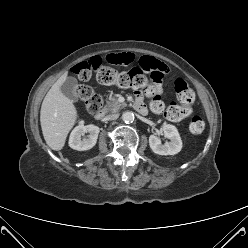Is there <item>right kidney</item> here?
Returning <instances> with one entry per match:
<instances>
[{
  "mask_svg": "<svg viewBox=\"0 0 248 248\" xmlns=\"http://www.w3.org/2000/svg\"><path fill=\"white\" fill-rule=\"evenodd\" d=\"M99 127L93 124L84 125L82 122L74 128L69 138V146L78 151L89 150L95 146L99 134ZM88 132V138L81 139V136Z\"/></svg>",
  "mask_w": 248,
  "mask_h": 248,
  "instance_id": "obj_1",
  "label": "right kidney"
}]
</instances>
